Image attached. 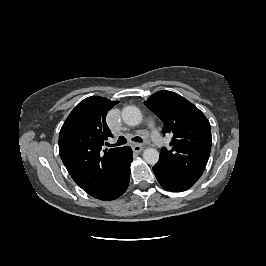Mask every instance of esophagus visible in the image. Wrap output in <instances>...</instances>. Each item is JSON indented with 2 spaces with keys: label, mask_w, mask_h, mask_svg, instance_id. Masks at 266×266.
<instances>
[{
  "label": "esophagus",
  "mask_w": 266,
  "mask_h": 266,
  "mask_svg": "<svg viewBox=\"0 0 266 266\" xmlns=\"http://www.w3.org/2000/svg\"><path fill=\"white\" fill-rule=\"evenodd\" d=\"M143 148H144L143 145L138 144V143H134L132 146L133 151L137 153L141 152Z\"/></svg>",
  "instance_id": "obj_1"
}]
</instances>
